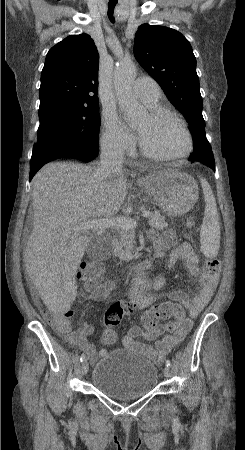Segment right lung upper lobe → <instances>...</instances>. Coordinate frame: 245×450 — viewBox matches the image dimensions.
<instances>
[{
  "instance_id": "right-lung-upper-lobe-1",
  "label": "right lung upper lobe",
  "mask_w": 245,
  "mask_h": 450,
  "mask_svg": "<svg viewBox=\"0 0 245 450\" xmlns=\"http://www.w3.org/2000/svg\"><path fill=\"white\" fill-rule=\"evenodd\" d=\"M99 54L87 34L71 35L47 53L41 73L40 108L53 104L99 105Z\"/></svg>"
}]
</instances>
